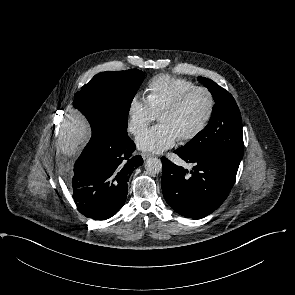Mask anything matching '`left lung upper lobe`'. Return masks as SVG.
I'll return each mask as SVG.
<instances>
[{
	"label": "left lung upper lobe",
	"mask_w": 295,
	"mask_h": 295,
	"mask_svg": "<svg viewBox=\"0 0 295 295\" xmlns=\"http://www.w3.org/2000/svg\"><path fill=\"white\" fill-rule=\"evenodd\" d=\"M198 80L211 92L216 104L207 126L179 150L186 155L211 153L240 163L244 153L242 119L233 96L210 79Z\"/></svg>",
	"instance_id": "obj_1"
}]
</instances>
